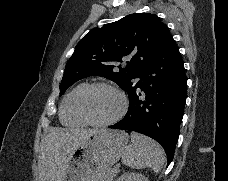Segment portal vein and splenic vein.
I'll return each mask as SVG.
<instances>
[{"label": "portal vein and splenic vein", "instance_id": "obj_1", "mask_svg": "<svg viewBox=\"0 0 228 181\" xmlns=\"http://www.w3.org/2000/svg\"><path fill=\"white\" fill-rule=\"evenodd\" d=\"M113 169H115V172H116V174H121V167L120 166H118L117 164H113L112 166H111Z\"/></svg>", "mask_w": 228, "mask_h": 181}]
</instances>
